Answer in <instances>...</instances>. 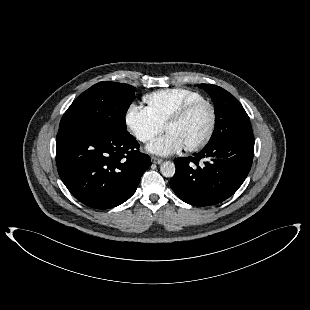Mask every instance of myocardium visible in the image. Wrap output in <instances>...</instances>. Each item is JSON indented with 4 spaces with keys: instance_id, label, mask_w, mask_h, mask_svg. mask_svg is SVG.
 Returning <instances> with one entry per match:
<instances>
[{
    "instance_id": "myocardium-1",
    "label": "myocardium",
    "mask_w": 310,
    "mask_h": 310,
    "mask_svg": "<svg viewBox=\"0 0 310 310\" xmlns=\"http://www.w3.org/2000/svg\"><path fill=\"white\" fill-rule=\"evenodd\" d=\"M205 105L209 108L210 111V123L205 135L202 137L200 141L196 144L184 147V150L187 152H196L201 150L212 138L217 122V112L214 104L206 99H200L192 101L182 107L175 115H173L164 125V129L166 130L169 126L177 124L183 121L186 117H188L195 109L198 107Z\"/></svg>"
}]
</instances>
